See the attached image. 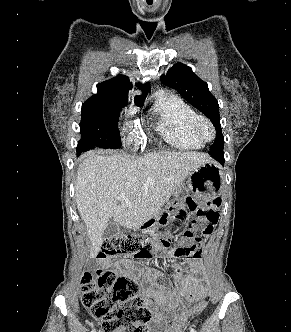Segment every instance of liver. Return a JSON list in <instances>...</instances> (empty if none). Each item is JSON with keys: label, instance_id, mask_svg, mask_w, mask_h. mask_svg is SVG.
I'll list each match as a JSON object with an SVG mask.
<instances>
[{"label": "liver", "instance_id": "1", "mask_svg": "<svg viewBox=\"0 0 291 332\" xmlns=\"http://www.w3.org/2000/svg\"><path fill=\"white\" fill-rule=\"evenodd\" d=\"M210 161L207 154L193 151L154 152L136 159L117 150L84 154L77 170L75 199L90 239V256L100 251L110 218L117 225L139 228L159 212L195 168Z\"/></svg>", "mask_w": 291, "mask_h": 332}]
</instances>
